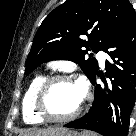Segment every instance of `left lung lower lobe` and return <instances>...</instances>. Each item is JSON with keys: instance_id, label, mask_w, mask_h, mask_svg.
I'll return each mask as SVG.
<instances>
[{"instance_id": "obj_1", "label": "left lung lower lobe", "mask_w": 136, "mask_h": 136, "mask_svg": "<svg viewBox=\"0 0 136 136\" xmlns=\"http://www.w3.org/2000/svg\"><path fill=\"white\" fill-rule=\"evenodd\" d=\"M112 62L106 61L104 86L90 81L95 97L89 112L64 127L95 131L102 136H127L130 114L136 95V14L131 7L119 28L103 48Z\"/></svg>"}]
</instances>
